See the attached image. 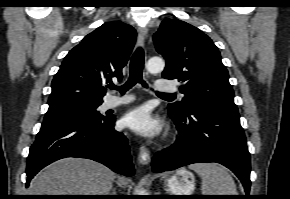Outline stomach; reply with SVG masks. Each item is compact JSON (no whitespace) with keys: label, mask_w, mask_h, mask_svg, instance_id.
Masks as SVG:
<instances>
[{"label":"stomach","mask_w":290,"mask_h":199,"mask_svg":"<svg viewBox=\"0 0 290 199\" xmlns=\"http://www.w3.org/2000/svg\"><path fill=\"white\" fill-rule=\"evenodd\" d=\"M167 186L171 195H191L195 189V177L190 171L180 169L168 179Z\"/></svg>","instance_id":"obj_1"}]
</instances>
